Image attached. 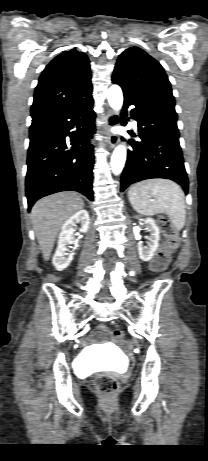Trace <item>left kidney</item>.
Returning a JSON list of instances; mask_svg holds the SVG:
<instances>
[{"mask_svg": "<svg viewBox=\"0 0 208 461\" xmlns=\"http://www.w3.org/2000/svg\"><path fill=\"white\" fill-rule=\"evenodd\" d=\"M146 230L149 232L147 239L149 240L147 246H143L141 242L138 243V253L142 261H149L158 248V242L160 239L159 228L156 226L155 220L148 217L144 220Z\"/></svg>", "mask_w": 208, "mask_h": 461, "instance_id": "5707ae66", "label": "left kidney"}]
</instances>
